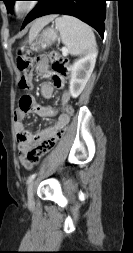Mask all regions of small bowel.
I'll list each match as a JSON object with an SVG mask.
<instances>
[{
    "instance_id": "small-bowel-1",
    "label": "small bowel",
    "mask_w": 133,
    "mask_h": 253,
    "mask_svg": "<svg viewBox=\"0 0 133 253\" xmlns=\"http://www.w3.org/2000/svg\"><path fill=\"white\" fill-rule=\"evenodd\" d=\"M36 71L40 77L47 79L41 86L43 97L51 98L56 90L64 89L63 78L49 69L46 56L38 57ZM70 99V93L67 90H63L60 96V104L65 106ZM30 113L41 117H49L54 114V110L50 107L39 105L32 97V93H23L20 99L19 107L14 113V129L17 134L19 159L26 169H31L33 165L28 160V153L37 148L44 140L52 137L59 129L65 127L70 120L65 113H62L52 126L33 132L24 122Z\"/></svg>"
}]
</instances>
